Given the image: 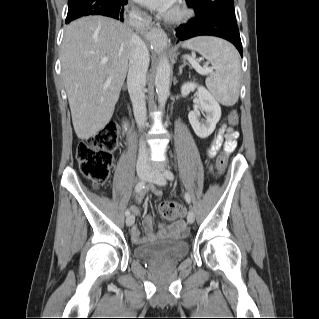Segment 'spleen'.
<instances>
[{"label": "spleen", "instance_id": "3e777b00", "mask_svg": "<svg viewBox=\"0 0 319 319\" xmlns=\"http://www.w3.org/2000/svg\"><path fill=\"white\" fill-rule=\"evenodd\" d=\"M183 48L191 49L211 62L214 76L206 79L213 97L225 106H233L239 98L241 67L236 49L216 37H196L185 41Z\"/></svg>", "mask_w": 319, "mask_h": 319}]
</instances>
